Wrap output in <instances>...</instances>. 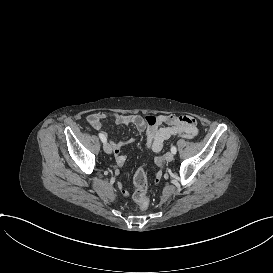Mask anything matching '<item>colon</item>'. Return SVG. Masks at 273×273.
<instances>
[{
  "mask_svg": "<svg viewBox=\"0 0 273 273\" xmlns=\"http://www.w3.org/2000/svg\"><path fill=\"white\" fill-rule=\"evenodd\" d=\"M168 118H171V116H168ZM145 122L148 126L154 127L158 125L159 119L155 115L149 114L145 116ZM134 183L136 186L139 187L138 192L136 193V196L138 197L137 201L141 205L139 209H136L134 211V214L136 216H139L141 213H144L148 208V204L146 203V200L141 198L146 191V185L144 184L145 176H144L143 169L141 168L136 169L135 176H134Z\"/></svg>",
  "mask_w": 273,
  "mask_h": 273,
  "instance_id": "5ec220e1",
  "label": "colon"
}]
</instances>
